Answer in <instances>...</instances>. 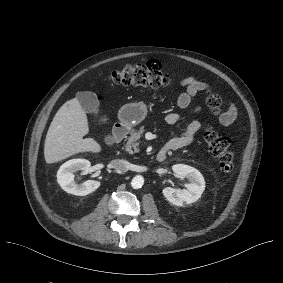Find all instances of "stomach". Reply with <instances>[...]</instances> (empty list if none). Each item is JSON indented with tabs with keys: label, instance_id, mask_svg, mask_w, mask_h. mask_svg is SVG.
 I'll list each match as a JSON object with an SVG mask.
<instances>
[{
	"label": "stomach",
	"instance_id": "1",
	"mask_svg": "<svg viewBox=\"0 0 283 283\" xmlns=\"http://www.w3.org/2000/svg\"><path fill=\"white\" fill-rule=\"evenodd\" d=\"M146 117L145 110L136 102L126 104L123 110H119V121L128 127H134L141 123Z\"/></svg>",
	"mask_w": 283,
	"mask_h": 283
}]
</instances>
